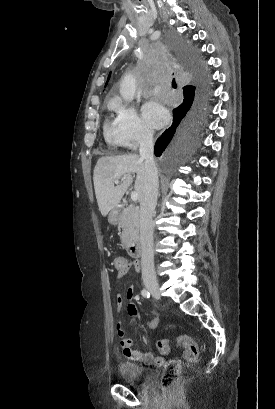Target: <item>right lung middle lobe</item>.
<instances>
[{
  "instance_id": "1",
  "label": "right lung middle lobe",
  "mask_w": 275,
  "mask_h": 409,
  "mask_svg": "<svg viewBox=\"0 0 275 409\" xmlns=\"http://www.w3.org/2000/svg\"><path fill=\"white\" fill-rule=\"evenodd\" d=\"M167 48L169 51H179V58L185 59L184 72L194 73L193 78L199 84V90L195 100L194 91L186 102L173 110L172 125L156 141L154 154L166 160L154 161L153 167L160 168L163 173H171L173 167H179L181 161L191 155L198 142L196 136L200 126L197 124V116L201 111L207 80L205 73L198 67L203 63V52L191 50L193 45L186 37H175ZM176 172L179 174L181 171L178 169Z\"/></svg>"
}]
</instances>
